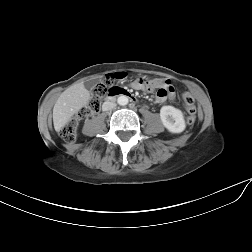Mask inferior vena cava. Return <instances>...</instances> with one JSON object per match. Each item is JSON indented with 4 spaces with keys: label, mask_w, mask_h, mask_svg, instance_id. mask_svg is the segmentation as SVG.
<instances>
[{
    "label": "inferior vena cava",
    "mask_w": 252,
    "mask_h": 252,
    "mask_svg": "<svg viewBox=\"0 0 252 252\" xmlns=\"http://www.w3.org/2000/svg\"><path fill=\"white\" fill-rule=\"evenodd\" d=\"M116 107V103L112 102V101H106L103 103L102 105V110L103 111H109V110H113Z\"/></svg>",
    "instance_id": "inferior-vena-cava-1"
}]
</instances>
